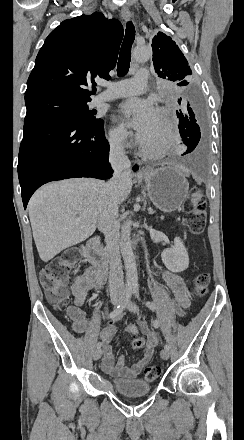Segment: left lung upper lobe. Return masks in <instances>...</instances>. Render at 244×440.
<instances>
[{
  "label": "left lung upper lobe",
  "mask_w": 244,
  "mask_h": 440,
  "mask_svg": "<svg viewBox=\"0 0 244 440\" xmlns=\"http://www.w3.org/2000/svg\"><path fill=\"white\" fill-rule=\"evenodd\" d=\"M152 42L153 64L158 76L169 81H181L179 86L188 85L191 81V69L171 37L159 32Z\"/></svg>",
  "instance_id": "left-lung-upper-lobe-1"
}]
</instances>
